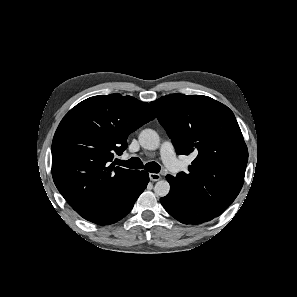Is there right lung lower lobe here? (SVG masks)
<instances>
[{
  "label": "right lung lower lobe",
  "mask_w": 297,
  "mask_h": 297,
  "mask_svg": "<svg viewBox=\"0 0 297 297\" xmlns=\"http://www.w3.org/2000/svg\"><path fill=\"white\" fill-rule=\"evenodd\" d=\"M148 181L149 176L147 172L134 171L130 179L103 210L90 221L99 225H109L122 219L131 211L135 201L147 187Z\"/></svg>",
  "instance_id": "98d812e1"
}]
</instances>
